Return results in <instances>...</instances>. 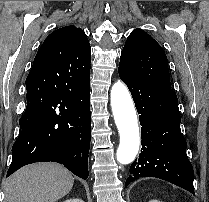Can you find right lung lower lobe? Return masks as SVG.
I'll list each match as a JSON object with an SVG mask.
<instances>
[{
  "mask_svg": "<svg viewBox=\"0 0 209 202\" xmlns=\"http://www.w3.org/2000/svg\"><path fill=\"white\" fill-rule=\"evenodd\" d=\"M27 106L12 147L7 176L34 162H58L87 179L91 140L90 83H67L33 63L26 79Z\"/></svg>",
  "mask_w": 209,
  "mask_h": 202,
  "instance_id": "1",
  "label": "right lung lower lobe"
}]
</instances>
